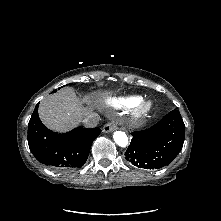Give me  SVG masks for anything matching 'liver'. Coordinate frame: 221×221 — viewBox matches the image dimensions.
<instances>
[{
  "mask_svg": "<svg viewBox=\"0 0 221 221\" xmlns=\"http://www.w3.org/2000/svg\"><path fill=\"white\" fill-rule=\"evenodd\" d=\"M105 105V99L84 107L72 88H63L59 92L44 98L39 105V117L43 124L54 131L66 132L79 125L84 117L92 113L93 108Z\"/></svg>",
  "mask_w": 221,
  "mask_h": 221,
  "instance_id": "1",
  "label": "liver"
}]
</instances>
